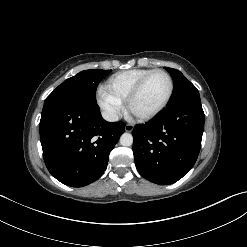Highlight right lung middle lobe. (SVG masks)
Listing matches in <instances>:
<instances>
[{"instance_id":"obj_1","label":"right lung middle lobe","mask_w":247,"mask_h":247,"mask_svg":"<svg viewBox=\"0 0 247 247\" xmlns=\"http://www.w3.org/2000/svg\"><path fill=\"white\" fill-rule=\"evenodd\" d=\"M111 70H85L68 78L60 84L45 100V103L57 100H75L86 104H97L96 88L99 82Z\"/></svg>"}]
</instances>
